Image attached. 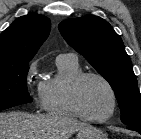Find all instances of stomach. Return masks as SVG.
Masks as SVG:
<instances>
[{
    "label": "stomach",
    "instance_id": "0dacf381",
    "mask_svg": "<svg viewBox=\"0 0 141 139\" xmlns=\"http://www.w3.org/2000/svg\"><path fill=\"white\" fill-rule=\"evenodd\" d=\"M76 139H108L107 135L101 130L88 126L78 131Z\"/></svg>",
    "mask_w": 141,
    "mask_h": 139
}]
</instances>
